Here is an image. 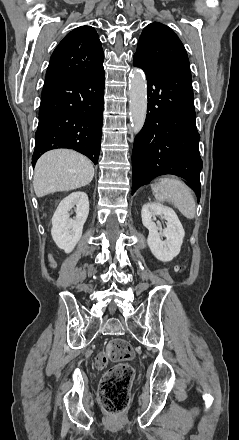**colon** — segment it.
<instances>
[{
  "instance_id": "5ec220e1",
  "label": "colon",
  "mask_w": 239,
  "mask_h": 440,
  "mask_svg": "<svg viewBox=\"0 0 239 440\" xmlns=\"http://www.w3.org/2000/svg\"><path fill=\"white\" fill-rule=\"evenodd\" d=\"M133 357L129 342L112 340L97 359V366L104 367L108 361L112 366L104 373L99 387L102 407L110 414L122 413L130 399V388L134 379V369L127 362Z\"/></svg>"
}]
</instances>
